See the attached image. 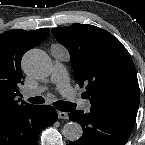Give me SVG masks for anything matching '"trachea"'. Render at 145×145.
Here are the masks:
<instances>
[{
	"label": "trachea",
	"mask_w": 145,
	"mask_h": 145,
	"mask_svg": "<svg viewBox=\"0 0 145 145\" xmlns=\"http://www.w3.org/2000/svg\"><path fill=\"white\" fill-rule=\"evenodd\" d=\"M29 102L32 104H43L45 99L41 96L31 97ZM53 106L62 112H69L75 109V104L66 102V101H56L53 103Z\"/></svg>",
	"instance_id": "1"
}]
</instances>
